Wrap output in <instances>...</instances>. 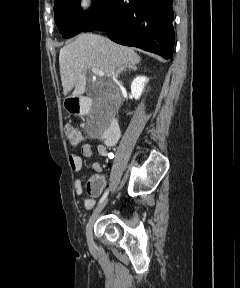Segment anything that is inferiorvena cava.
<instances>
[{"label": "inferior vena cava", "instance_id": "inferior-vena-cava-1", "mask_svg": "<svg viewBox=\"0 0 240 288\" xmlns=\"http://www.w3.org/2000/svg\"><path fill=\"white\" fill-rule=\"evenodd\" d=\"M111 77H112V80H113L114 83H118V81H117V77H118L117 71H115L114 68H112Z\"/></svg>", "mask_w": 240, "mask_h": 288}]
</instances>
